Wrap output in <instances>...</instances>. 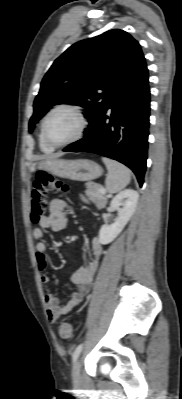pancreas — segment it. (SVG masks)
<instances>
[{
	"mask_svg": "<svg viewBox=\"0 0 182 399\" xmlns=\"http://www.w3.org/2000/svg\"><path fill=\"white\" fill-rule=\"evenodd\" d=\"M86 188V194L97 204L98 207H103L104 201L106 200L105 193L102 192V189L104 188L93 182H87Z\"/></svg>",
	"mask_w": 182,
	"mask_h": 399,
	"instance_id": "1",
	"label": "pancreas"
}]
</instances>
